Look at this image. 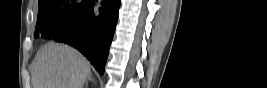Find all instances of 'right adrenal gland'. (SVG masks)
I'll return each instance as SVG.
<instances>
[{"label":"right adrenal gland","instance_id":"obj_1","mask_svg":"<svg viewBox=\"0 0 267 88\" xmlns=\"http://www.w3.org/2000/svg\"><path fill=\"white\" fill-rule=\"evenodd\" d=\"M90 80H93V78H92V73H91V72L88 74V77H87V80H86V86H85V88H87V86H88V81H90Z\"/></svg>","mask_w":267,"mask_h":88}]
</instances>
